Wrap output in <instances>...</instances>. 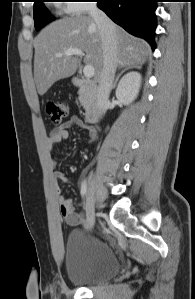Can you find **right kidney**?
Here are the masks:
<instances>
[{"instance_id": "ca27d5eb", "label": "right kidney", "mask_w": 195, "mask_h": 299, "mask_svg": "<svg viewBox=\"0 0 195 299\" xmlns=\"http://www.w3.org/2000/svg\"><path fill=\"white\" fill-rule=\"evenodd\" d=\"M141 79L140 73L129 72L120 80L116 89V98L123 105H130L137 98Z\"/></svg>"}]
</instances>
